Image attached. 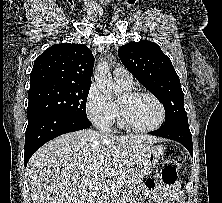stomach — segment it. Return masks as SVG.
I'll return each mask as SVG.
<instances>
[{"mask_svg":"<svg viewBox=\"0 0 222 203\" xmlns=\"http://www.w3.org/2000/svg\"><path fill=\"white\" fill-rule=\"evenodd\" d=\"M162 155L163 148L161 146H150L146 149L141 160L137 163L136 175L140 179L145 175H149Z\"/></svg>","mask_w":222,"mask_h":203,"instance_id":"obj_1","label":"stomach"}]
</instances>
